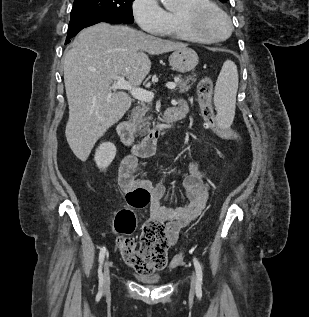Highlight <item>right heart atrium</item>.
<instances>
[{"label": "right heart atrium", "mask_w": 309, "mask_h": 317, "mask_svg": "<svg viewBox=\"0 0 309 317\" xmlns=\"http://www.w3.org/2000/svg\"><path fill=\"white\" fill-rule=\"evenodd\" d=\"M132 13L139 27L150 34H159L167 27L166 11L158 0H133Z\"/></svg>", "instance_id": "obj_1"}]
</instances>
